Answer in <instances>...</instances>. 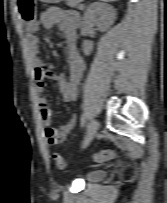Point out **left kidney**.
Wrapping results in <instances>:
<instances>
[{
	"label": "left kidney",
	"instance_id": "5707ae66",
	"mask_svg": "<svg viewBox=\"0 0 167 203\" xmlns=\"http://www.w3.org/2000/svg\"><path fill=\"white\" fill-rule=\"evenodd\" d=\"M116 15L112 9L102 3H93L89 6L85 12L81 34L87 35L88 28L95 24L101 31L107 30L115 21ZM83 52L85 55H89L93 50V43L85 40L82 45Z\"/></svg>",
	"mask_w": 167,
	"mask_h": 203
}]
</instances>
